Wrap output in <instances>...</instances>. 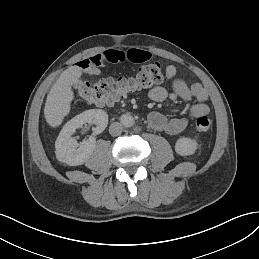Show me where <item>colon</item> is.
<instances>
[{"label":"colon","mask_w":259,"mask_h":259,"mask_svg":"<svg viewBox=\"0 0 259 259\" xmlns=\"http://www.w3.org/2000/svg\"><path fill=\"white\" fill-rule=\"evenodd\" d=\"M163 80L161 65L152 62L144 65L133 77L107 78L97 83L79 80L75 84V91L81 100L96 106H110L126 96L151 89L159 85ZM212 126V120L204 115L195 120V128L207 131Z\"/></svg>","instance_id":"colon-1"}]
</instances>
